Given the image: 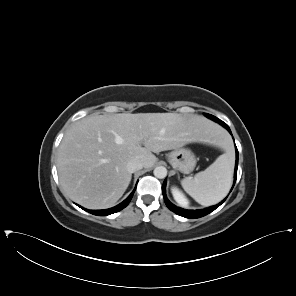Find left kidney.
I'll return each mask as SVG.
<instances>
[{
	"label": "left kidney",
	"instance_id": "1",
	"mask_svg": "<svg viewBox=\"0 0 296 296\" xmlns=\"http://www.w3.org/2000/svg\"><path fill=\"white\" fill-rule=\"evenodd\" d=\"M171 193L173 195L174 200L181 206H187L189 204L187 198L185 197V195L182 193V191L176 187V186H172L171 187Z\"/></svg>",
	"mask_w": 296,
	"mask_h": 296
}]
</instances>
